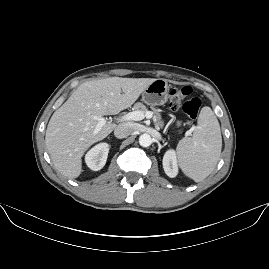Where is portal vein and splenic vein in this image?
Wrapping results in <instances>:
<instances>
[{"mask_svg": "<svg viewBox=\"0 0 269 269\" xmlns=\"http://www.w3.org/2000/svg\"><path fill=\"white\" fill-rule=\"evenodd\" d=\"M144 118L147 121L152 120L153 118L152 112L147 111L146 113H144L143 111H140V110L129 112L126 115H124L121 120L122 121H130V120L140 121V120H143ZM94 119L98 121V124L94 130V134H97L101 130V128L106 124V120L103 117H97V116H95ZM191 133H192V130L190 129L185 133V135L189 136L191 135Z\"/></svg>", "mask_w": 269, "mask_h": 269, "instance_id": "18ae733b", "label": "portal vein and splenic vein"}]
</instances>
